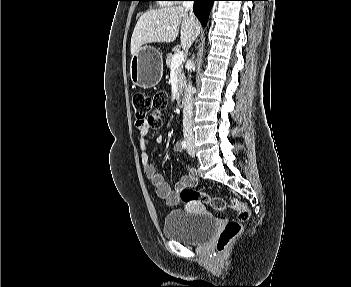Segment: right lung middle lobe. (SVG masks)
Instances as JSON below:
<instances>
[{"label":"right lung middle lobe","instance_id":"dd1d6c3e","mask_svg":"<svg viewBox=\"0 0 351 287\" xmlns=\"http://www.w3.org/2000/svg\"><path fill=\"white\" fill-rule=\"evenodd\" d=\"M139 1H155V0H139Z\"/></svg>","mask_w":351,"mask_h":287}]
</instances>
